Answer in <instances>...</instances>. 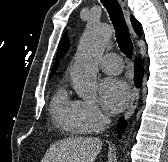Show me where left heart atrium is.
<instances>
[{"mask_svg": "<svg viewBox=\"0 0 168 162\" xmlns=\"http://www.w3.org/2000/svg\"><path fill=\"white\" fill-rule=\"evenodd\" d=\"M131 96L130 88L119 78H107L100 87V98L104 109L111 114L122 111Z\"/></svg>", "mask_w": 168, "mask_h": 162, "instance_id": "obj_1", "label": "left heart atrium"}]
</instances>
